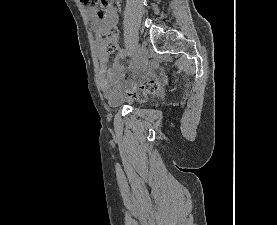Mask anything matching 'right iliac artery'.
Segmentation results:
<instances>
[{"mask_svg":"<svg viewBox=\"0 0 277 225\" xmlns=\"http://www.w3.org/2000/svg\"><path fill=\"white\" fill-rule=\"evenodd\" d=\"M138 53H139V49H135L134 52H133L132 64H133L134 66L137 65Z\"/></svg>","mask_w":277,"mask_h":225,"instance_id":"right-iliac-artery-1","label":"right iliac artery"}]
</instances>
